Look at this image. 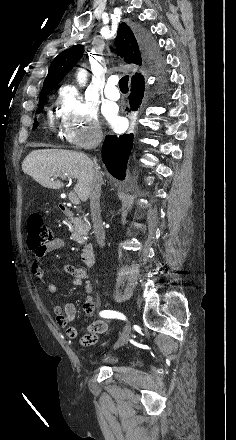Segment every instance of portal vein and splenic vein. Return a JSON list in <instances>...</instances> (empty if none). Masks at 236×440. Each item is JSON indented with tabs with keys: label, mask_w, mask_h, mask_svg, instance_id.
<instances>
[{
	"label": "portal vein and splenic vein",
	"mask_w": 236,
	"mask_h": 440,
	"mask_svg": "<svg viewBox=\"0 0 236 440\" xmlns=\"http://www.w3.org/2000/svg\"><path fill=\"white\" fill-rule=\"evenodd\" d=\"M69 200L75 205L80 204V200L74 192L69 193Z\"/></svg>",
	"instance_id": "18ae733b"
}]
</instances>
